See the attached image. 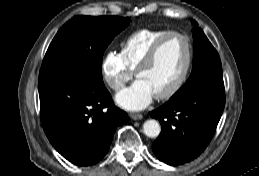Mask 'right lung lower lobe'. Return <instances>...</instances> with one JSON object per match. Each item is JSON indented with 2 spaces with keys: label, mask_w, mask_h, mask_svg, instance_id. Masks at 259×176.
I'll use <instances>...</instances> for the list:
<instances>
[{
  "label": "right lung lower lobe",
  "mask_w": 259,
  "mask_h": 176,
  "mask_svg": "<svg viewBox=\"0 0 259 176\" xmlns=\"http://www.w3.org/2000/svg\"><path fill=\"white\" fill-rule=\"evenodd\" d=\"M40 118L53 147L79 166L99 162L107 153L115 129L128 122L104 83L77 75L38 82Z\"/></svg>",
  "instance_id": "right-lung-lower-lobe-1"
}]
</instances>
